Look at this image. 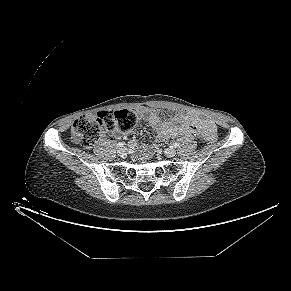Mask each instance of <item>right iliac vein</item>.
<instances>
[{
    "instance_id": "1",
    "label": "right iliac vein",
    "mask_w": 291,
    "mask_h": 291,
    "mask_svg": "<svg viewBox=\"0 0 291 291\" xmlns=\"http://www.w3.org/2000/svg\"><path fill=\"white\" fill-rule=\"evenodd\" d=\"M117 153H118V155L120 157H124L127 154V149L126 148H120V149H118Z\"/></svg>"
}]
</instances>
